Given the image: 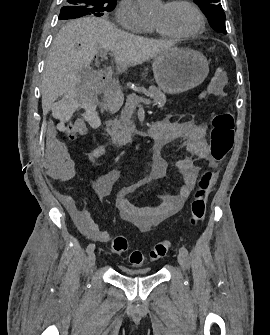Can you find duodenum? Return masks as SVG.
I'll return each instance as SVG.
<instances>
[{
    "mask_svg": "<svg viewBox=\"0 0 270 335\" xmlns=\"http://www.w3.org/2000/svg\"><path fill=\"white\" fill-rule=\"evenodd\" d=\"M103 93L105 96L104 107L108 112L114 113L118 111L123 102V94L119 87L113 82L106 81L103 84ZM143 136L155 139L158 135L157 123L149 125L142 133ZM133 140V137H129L122 142L127 144Z\"/></svg>",
    "mask_w": 270,
    "mask_h": 335,
    "instance_id": "1",
    "label": "duodenum"
}]
</instances>
